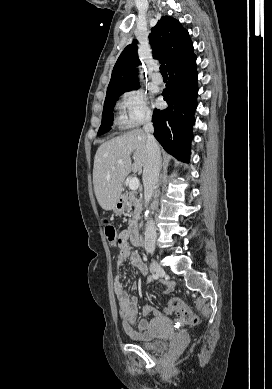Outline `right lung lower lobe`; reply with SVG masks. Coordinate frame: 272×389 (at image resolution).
<instances>
[{
	"label": "right lung lower lobe",
	"mask_w": 272,
	"mask_h": 389,
	"mask_svg": "<svg viewBox=\"0 0 272 389\" xmlns=\"http://www.w3.org/2000/svg\"><path fill=\"white\" fill-rule=\"evenodd\" d=\"M168 73L169 81L162 92L168 108L154 110V136L168 153L189 162L198 95L196 56L174 65Z\"/></svg>",
	"instance_id": "98d812e1"
}]
</instances>
